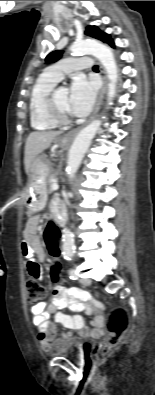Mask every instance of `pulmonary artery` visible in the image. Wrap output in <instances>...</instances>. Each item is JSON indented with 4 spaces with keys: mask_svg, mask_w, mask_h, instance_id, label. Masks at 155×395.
<instances>
[{
    "mask_svg": "<svg viewBox=\"0 0 155 395\" xmlns=\"http://www.w3.org/2000/svg\"><path fill=\"white\" fill-rule=\"evenodd\" d=\"M91 66L92 60L89 57L67 58L48 67L46 73L59 82L65 75L74 71L89 69Z\"/></svg>",
    "mask_w": 155,
    "mask_h": 395,
    "instance_id": "obj_1",
    "label": "pulmonary artery"
}]
</instances>
